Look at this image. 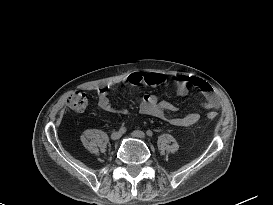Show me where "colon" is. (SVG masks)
<instances>
[{"label":"colon","instance_id":"5ec220e1","mask_svg":"<svg viewBox=\"0 0 273 205\" xmlns=\"http://www.w3.org/2000/svg\"><path fill=\"white\" fill-rule=\"evenodd\" d=\"M88 94L83 91H73L69 93L66 97L67 106L74 111H82L86 108L88 104ZM216 113H208V118L213 120L216 118Z\"/></svg>","mask_w":273,"mask_h":205}]
</instances>
